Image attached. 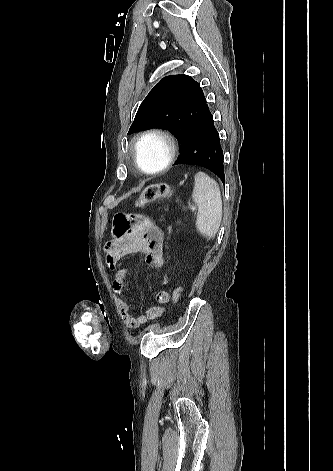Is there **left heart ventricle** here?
<instances>
[{
	"mask_svg": "<svg viewBox=\"0 0 333 471\" xmlns=\"http://www.w3.org/2000/svg\"><path fill=\"white\" fill-rule=\"evenodd\" d=\"M166 146L158 138L145 139L139 146L138 157L141 165L148 169L159 167L166 157Z\"/></svg>",
	"mask_w": 333,
	"mask_h": 471,
	"instance_id": "left-heart-ventricle-1",
	"label": "left heart ventricle"
}]
</instances>
